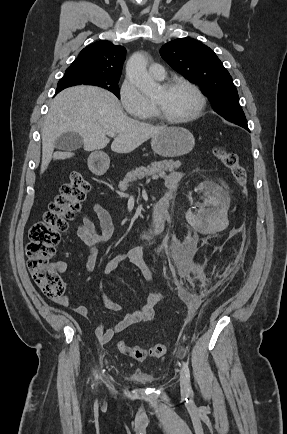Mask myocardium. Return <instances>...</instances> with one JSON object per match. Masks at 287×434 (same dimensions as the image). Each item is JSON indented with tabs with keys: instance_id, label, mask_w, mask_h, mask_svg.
I'll return each instance as SVG.
<instances>
[{
	"instance_id": "obj_1",
	"label": "myocardium",
	"mask_w": 287,
	"mask_h": 434,
	"mask_svg": "<svg viewBox=\"0 0 287 434\" xmlns=\"http://www.w3.org/2000/svg\"><path fill=\"white\" fill-rule=\"evenodd\" d=\"M177 86H183L188 88L189 90H191L193 92V94L195 95L196 99H197V104L195 109L193 110V112L185 117L182 118H171L169 116H167L162 109L160 108V106L154 102L152 100V107H153V111L155 116L160 119L161 121L168 123V124H173V125H181V124H185L188 122H191L195 119H197L201 113L203 112L204 108H205V104H206V99L204 94L202 93V91L192 82L186 80V79H170L164 83L161 84V88L168 90V89H172L174 87Z\"/></svg>"
}]
</instances>
